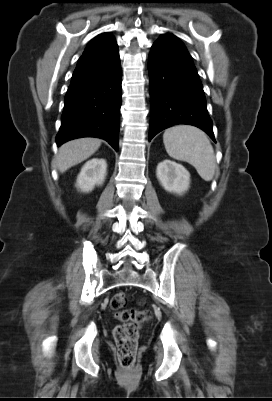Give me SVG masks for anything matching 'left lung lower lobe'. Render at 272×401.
<instances>
[{
    "instance_id": "obj_1",
    "label": "left lung lower lobe",
    "mask_w": 272,
    "mask_h": 401,
    "mask_svg": "<svg viewBox=\"0 0 272 401\" xmlns=\"http://www.w3.org/2000/svg\"><path fill=\"white\" fill-rule=\"evenodd\" d=\"M148 71L151 118L149 141L177 124L196 126L215 141L202 83L184 44L172 34L152 46Z\"/></svg>"
}]
</instances>
